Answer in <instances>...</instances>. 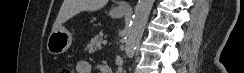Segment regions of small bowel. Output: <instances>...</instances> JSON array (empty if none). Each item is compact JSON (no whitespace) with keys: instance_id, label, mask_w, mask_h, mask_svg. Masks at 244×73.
<instances>
[{"instance_id":"small-bowel-1","label":"small bowel","mask_w":244,"mask_h":73,"mask_svg":"<svg viewBox=\"0 0 244 73\" xmlns=\"http://www.w3.org/2000/svg\"><path fill=\"white\" fill-rule=\"evenodd\" d=\"M103 69L102 73H104ZM76 73H91V64L85 60L78 61L76 64Z\"/></svg>"}]
</instances>
